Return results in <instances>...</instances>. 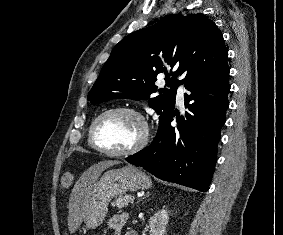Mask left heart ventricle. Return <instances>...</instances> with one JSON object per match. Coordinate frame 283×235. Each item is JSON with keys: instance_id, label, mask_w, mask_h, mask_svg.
<instances>
[{"instance_id": "b2bd125f", "label": "left heart ventricle", "mask_w": 283, "mask_h": 235, "mask_svg": "<svg viewBox=\"0 0 283 235\" xmlns=\"http://www.w3.org/2000/svg\"><path fill=\"white\" fill-rule=\"evenodd\" d=\"M142 133L140 121L128 113H113L103 118L96 128L97 143L108 150L130 148Z\"/></svg>"}]
</instances>
